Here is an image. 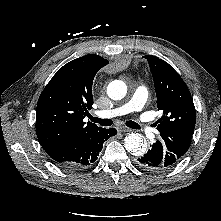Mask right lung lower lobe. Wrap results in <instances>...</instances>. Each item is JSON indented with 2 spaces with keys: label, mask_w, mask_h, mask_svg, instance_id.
<instances>
[{
  "label": "right lung lower lobe",
  "mask_w": 221,
  "mask_h": 221,
  "mask_svg": "<svg viewBox=\"0 0 221 221\" xmlns=\"http://www.w3.org/2000/svg\"><path fill=\"white\" fill-rule=\"evenodd\" d=\"M117 134L115 128H101L90 139L81 144L73 152L65 156L56 163L64 169L79 170L94 163L102 150L103 143L111 136Z\"/></svg>",
  "instance_id": "1"
}]
</instances>
